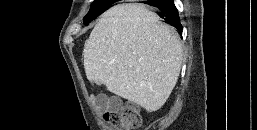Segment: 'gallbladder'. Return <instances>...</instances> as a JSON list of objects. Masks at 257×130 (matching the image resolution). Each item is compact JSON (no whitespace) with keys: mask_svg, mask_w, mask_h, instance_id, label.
<instances>
[{"mask_svg":"<svg viewBox=\"0 0 257 130\" xmlns=\"http://www.w3.org/2000/svg\"><path fill=\"white\" fill-rule=\"evenodd\" d=\"M96 84H97V85H100V82H97Z\"/></svg>","mask_w":257,"mask_h":130,"instance_id":"obj_1","label":"gallbladder"}]
</instances>
